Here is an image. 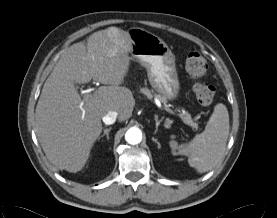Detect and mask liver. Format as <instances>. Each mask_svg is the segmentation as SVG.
I'll return each mask as SVG.
<instances>
[{
    "label": "liver",
    "instance_id": "6515ba94",
    "mask_svg": "<svg viewBox=\"0 0 277 218\" xmlns=\"http://www.w3.org/2000/svg\"><path fill=\"white\" fill-rule=\"evenodd\" d=\"M131 49L129 33L109 27L91 34L86 45L75 43L61 55L35 111L37 138L55 167L75 173L85 166L109 111H116L120 122L131 117L134 97L120 86L129 71ZM91 79L109 86H100L82 100L75 84Z\"/></svg>",
    "mask_w": 277,
    "mask_h": 218
}]
</instances>
